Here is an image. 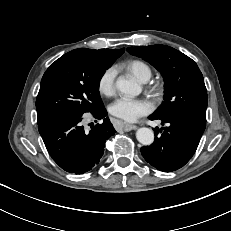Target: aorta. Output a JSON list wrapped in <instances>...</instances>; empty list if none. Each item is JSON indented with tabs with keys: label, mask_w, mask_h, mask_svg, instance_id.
Returning <instances> with one entry per match:
<instances>
[{
	"label": "aorta",
	"mask_w": 231,
	"mask_h": 231,
	"mask_svg": "<svg viewBox=\"0 0 231 231\" xmlns=\"http://www.w3.org/2000/svg\"><path fill=\"white\" fill-rule=\"evenodd\" d=\"M116 88L124 94L136 96L140 93L139 85L124 77H119L116 80ZM137 140L144 146L151 145L154 141V133L150 128L142 127L136 132Z\"/></svg>",
	"instance_id": "aorta-1"
}]
</instances>
